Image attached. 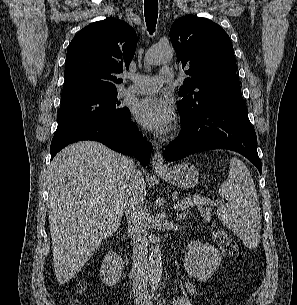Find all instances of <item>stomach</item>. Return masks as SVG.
<instances>
[{
	"label": "stomach",
	"instance_id": "stomach-1",
	"mask_svg": "<svg viewBox=\"0 0 297 305\" xmlns=\"http://www.w3.org/2000/svg\"><path fill=\"white\" fill-rule=\"evenodd\" d=\"M157 174L165 181L179 188H192L196 186L199 178L196 167L186 162L157 171Z\"/></svg>",
	"mask_w": 297,
	"mask_h": 305
}]
</instances>
